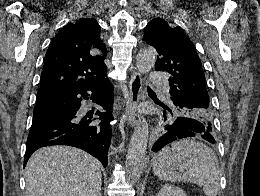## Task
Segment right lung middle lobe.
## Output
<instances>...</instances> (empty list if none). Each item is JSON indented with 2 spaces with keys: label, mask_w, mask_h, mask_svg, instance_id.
I'll return each mask as SVG.
<instances>
[{
  "label": "right lung middle lobe",
  "mask_w": 260,
  "mask_h": 196,
  "mask_svg": "<svg viewBox=\"0 0 260 196\" xmlns=\"http://www.w3.org/2000/svg\"><path fill=\"white\" fill-rule=\"evenodd\" d=\"M61 117H62V115L51 113V112L41 111V110L35 108L32 127L58 119V118H61Z\"/></svg>",
  "instance_id": "dd1d6c3e"
}]
</instances>
